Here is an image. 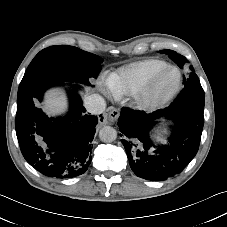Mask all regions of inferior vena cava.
Here are the masks:
<instances>
[{
    "mask_svg": "<svg viewBox=\"0 0 227 227\" xmlns=\"http://www.w3.org/2000/svg\"><path fill=\"white\" fill-rule=\"evenodd\" d=\"M84 106L89 113L98 115L105 111L106 102L99 94H92L85 98Z\"/></svg>",
    "mask_w": 227,
    "mask_h": 227,
    "instance_id": "1",
    "label": "inferior vena cava"
}]
</instances>
